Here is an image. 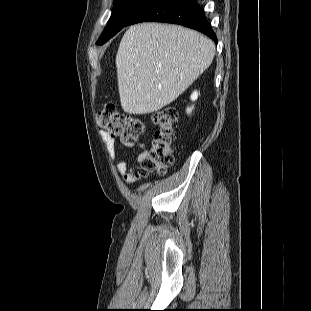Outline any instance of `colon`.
Listing matches in <instances>:
<instances>
[{"mask_svg": "<svg viewBox=\"0 0 311 311\" xmlns=\"http://www.w3.org/2000/svg\"><path fill=\"white\" fill-rule=\"evenodd\" d=\"M177 112L173 108H164L154 115L157 126L150 149L139 164V175L145 176L152 172L164 173L173 163L174 125ZM100 127L124 139L138 140L146 130L144 120L130 115L120 114L113 105H106L97 114Z\"/></svg>", "mask_w": 311, "mask_h": 311, "instance_id": "colon-1", "label": "colon"}]
</instances>
